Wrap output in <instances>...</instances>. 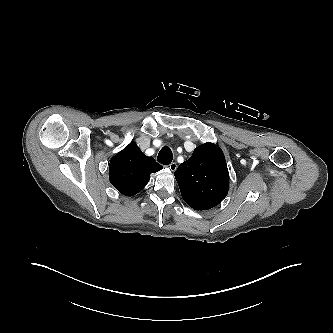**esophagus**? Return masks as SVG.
<instances>
[{"instance_id": "34e87169", "label": "esophagus", "mask_w": 333, "mask_h": 333, "mask_svg": "<svg viewBox=\"0 0 333 333\" xmlns=\"http://www.w3.org/2000/svg\"><path fill=\"white\" fill-rule=\"evenodd\" d=\"M168 167L171 171H175L177 169V164L175 162H172L168 165Z\"/></svg>"}]
</instances>
